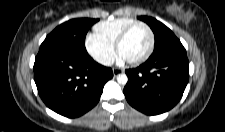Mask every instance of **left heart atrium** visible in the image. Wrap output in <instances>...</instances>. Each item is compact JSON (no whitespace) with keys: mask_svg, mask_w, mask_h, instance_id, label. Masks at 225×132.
<instances>
[{"mask_svg":"<svg viewBox=\"0 0 225 132\" xmlns=\"http://www.w3.org/2000/svg\"><path fill=\"white\" fill-rule=\"evenodd\" d=\"M119 60L123 62V61H125L126 59H125L122 55L119 54Z\"/></svg>","mask_w":225,"mask_h":132,"instance_id":"1","label":"left heart atrium"}]
</instances>
